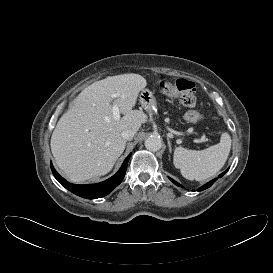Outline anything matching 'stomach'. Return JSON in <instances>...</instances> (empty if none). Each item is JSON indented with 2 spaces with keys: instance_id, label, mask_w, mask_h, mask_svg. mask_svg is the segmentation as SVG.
Instances as JSON below:
<instances>
[{
  "instance_id": "1",
  "label": "stomach",
  "mask_w": 273,
  "mask_h": 273,
  "mask_svg": "<svg viewBox=\"0 0 273 273\" xmlns=\"http://www.w3.org/2000/svg\"><path fill=\"white\" fill-rule=\"evenodd\" d=\"M159 85L163 91L170 89L171 85L164 80L159 81ZM139 101L144 110L149 113L156 112V99L153 93L148 89H143L139 96Z\"/></svg>"
}]
</instances>
